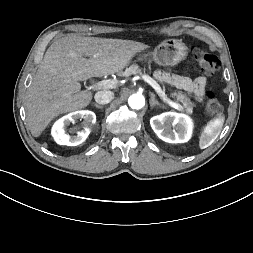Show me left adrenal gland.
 Listing matches in <instances>:
<instances>
[{
  "label": "left adrenal gland",
  "mask_w": 253,
  "mask_h": 253,
  "mask_svg": "<svg viewBox=\"0 0 253 253\" xmlns=\"http://www.w3.org/2000/svg\"><path fill=\"white\" fill-rule=\"evenodd\" d=\"M150 106L151 108L155 107V106H161V104L155 99V95L153 93H150Z\"/></svg>",
  "instance_id": "left-adrenal-gland-1"
}]
</instances>
